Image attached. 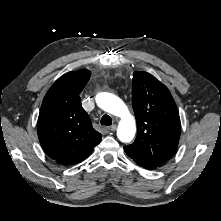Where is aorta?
Here are the masks:
<instances>
[{"mask_svg":"<svg viewBox=\"0 0 221 221\" xmlns=\"http://www.w3.org/2000/svg\"><path fill=\"white\" fill-rule=\"evenodd\" d=\"M95 100L102 110L120 118L117 137L121 142H130L135 136L136 123L125 103L119 97L107 92L97 94Z\"/></svg>","mask_w":221,"mask_h":221,"instance_id":"aorta-1","label":"aorta"}]
</instances>
